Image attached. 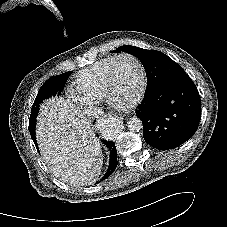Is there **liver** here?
Listing matches in <instances>:
<instances>
[{
	"mask_svg": "<svg viewBox=\"0 0 227 227\" xmlns=\"http://www.w3.org/2000/svg\"><path fill=\"white\" fill-rule=\"evenodd\" d=\"M89 119L63 97L45 101L37 118L36 137L45 163L73 186L95 182L103 165L100 141Z\"/></svg>",
	"mask_w": 227,
	"mask_h": 227,
	"instance_id": "1",
	"label": "liver"
}]
</instances>
